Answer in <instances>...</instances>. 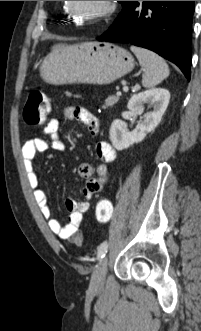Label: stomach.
I'll return each instance as SVG.
<instances>
[{
  "mask_svg": "<svg viewBox=\"0 0 201 331\" xmlns=\"http://www.w3.org/2000/svg\"><path fill=\"white\" fill-rule=\"evenodd\" d=\"M126 49L108 42L61 44L43 59L41 77L51 84H110L134 68Z\"/></svg>",
  "mask_w": 201,
  "mask_h": 331,
  "instance_id": "0dacf381",
  "label": "stomach"
}]
</instances>
